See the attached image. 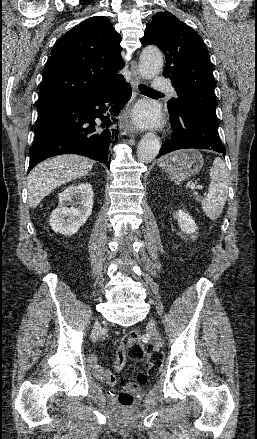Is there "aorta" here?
Wrapping results in <instances>:
<instances>
[{
	"label": "aorta",
	"instance_id": "obj_1",
	"mask_svg": "<svg viewBox=\"0 0 257 439\" xmlns=\"http://www.w3.org/2000/svg\"><path fill=\"white\" fill-rule=\"evenodd\" d=\"M163 66V56L156 47H146L142 50L139 59V72L145 79L155 77ZM160 150V141L154 133H147L137 147V158L143 163H149L155 159Z\"/></svg>",
	"mask_w": 257,
	"mask_h": 439
}]
</instances>
